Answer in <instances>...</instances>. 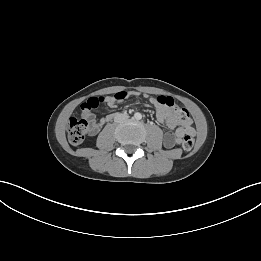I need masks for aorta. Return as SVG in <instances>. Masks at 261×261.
Listing matches in <instances>:
<instances>
[{
  "label": "aorta",
  "instance_id": "obj_1",
  "mask_svg": "<svg viewBox=\"0 0 261 261\" xmlns=\"http://www.w3.org/2000/svg\"><path fill=\"white\" fill-rule=\"evenodd\" d=\"M135 118H136V119H141V118H142V116H141V114H139V113H136V114H135Z\"/></svg>",
  "mask_w": 261,
  "mask_h": 261
}]
</instances>
